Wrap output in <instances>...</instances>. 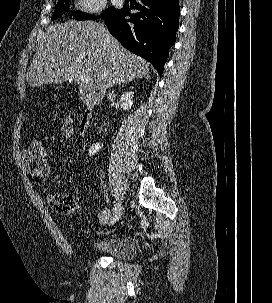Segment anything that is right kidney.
<instances>
[{
  "mask_svg": "<svg viewBox=\"0 0 272 303\" xmlns=\"http://www.w3.org/2000/svg\"><path fill=\"white\" fill-rule=\"evenodd\" d=\"M133 94L134 92L132 91H128V92H125L121 98H120V106L123 110H129L131 109L132 105H133ZM102 146L103 144H100V143H96V144H93L90 149H89V155L92 156V155H95L97 152L100 151V149H102Z\"/></svg>",
  "mask_w": 272,
  "mask_h": 303,
  "instance_id": "ca27d5eb",
  "label": "right kidney"
}]
</instances>
